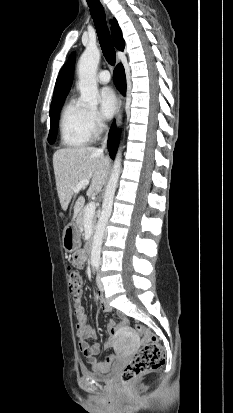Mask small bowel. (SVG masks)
Returning <instances> with one entry per match:
<instances>
[{"instance_id": "obj_1", "label": "small bowel", "mask_w": 233, "mask_h": 413, "mask_svg": "<svg viewBox=\"0 0 233 413\" xmlns=\"http://www.w3.org/2000/svg\"><path fill=\"white\" fill-rule=\"evenodd\" d=\"M84 253L85 250L83 247H76L74 253L71 255L72 265L76 268L77 272L83 271V260L85 257ZM82 297L83 293L81 289L73 293V304L75 307L74 315L77 328L76 334L79 340V348L84 357L87 359L88 363H90L96 371H104L114 361L115 356L109 355L103 362L97 360L96 356L100 352V344L94 343L92 345H89L88 343V339L96 337V331L87 323L85 312L81 307ZM97 299L103 311L110 312L112 310L111 306L107 303L102 295H97ZM118 328L119 324L114 322H111L108 325V330L112 334H116ZM115 345V340L113 338L107 340L104 344L106 348Z\"/></svg>"}]
</instances>
